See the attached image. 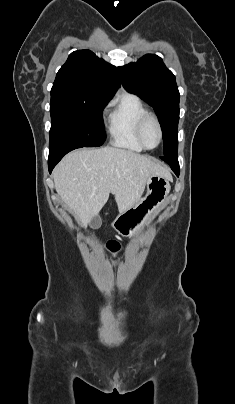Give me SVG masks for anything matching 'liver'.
<instances>
[{"instance_id":"obj_1","label":"liver","mask_w":235,"mask_h":404,"mask_svg":"<svg viewBox=\"0 0 235 404\" xmlns=\"http://www.w3.org/2000/svg\"><path fill=\"white\" fill-rule=\"evenodd\" d=\"M172 179L169 170L130 150L80 149L67 154L53 171L55 189L70 212L86 226L113 193L120 213L140 202L152 176Z\"/></svg>"}]
</instances>
